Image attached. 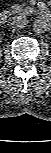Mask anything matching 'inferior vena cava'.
I'll use <instances>...</instances> for the list:
<instances>
[{
  "label": "inferior vena cava",
  "instance_id": "602c4592",
  "mask_svg": "<svg viewBox=\"0 0 51 153\" xmlns=\"http://www.w3.org/2000/svg\"><path fill=\"white\" fill-rule=\"evenodd\" d=\"M27 18L24 16H14L10 21V25L14 29H22L27 25Z\"/></svg>",
  "mask_w": 51,
  "mask_h": 153
}]
</instances>
